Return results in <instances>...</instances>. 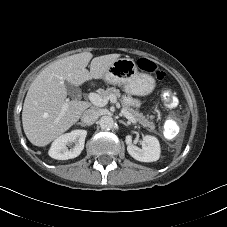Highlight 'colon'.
Returning <instances> with one entry per match:
<instances>
[{
    "mask_svg": "<svg viewBox=\"0 0 227 227\" xmlns=\"http://www.w3.org/2000/svg\"><path fill=\"white\" fill-rule=\"evenodd\" d=\"M138 67L140 70L148 73H154L158 79L164 78V73L156 68V65L145 58H141L138 61ZM160 97L168 105L175 106L178 103V99L173 91L168 87H163L160 90Z\"/></svg>",
    "mask_w": 227,
    "mask_h": 227,
    "instance_id": "5ec220e1",
    "label": "colon"
}]
</instances>
